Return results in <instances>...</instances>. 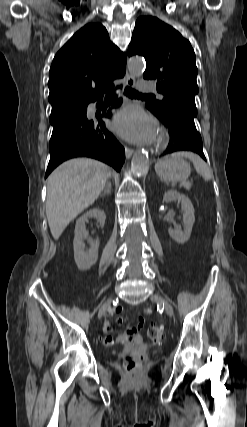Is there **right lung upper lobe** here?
Returning <instances> with one entry per match:
<instances>
[{
    "label": "right lung upper lobe",
    "instance_id": "obj_1",
    "mask_svg": "<svg viewBox=\"0 0 247 427\" xmlns=\"http://www.w3.org/2000/svg\"><path fill=\"white\" fill-rule=\"evenodd\" d=\"M126 54L109 39L104 26L90 23L76 32L55 55L48 86L52 110L99 100L126 71Z\"/></svg>",
    "mask_w": 247,
    "mask_h": 427
}]
</instances>
